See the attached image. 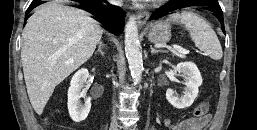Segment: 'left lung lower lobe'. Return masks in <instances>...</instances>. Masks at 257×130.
I'll use <instances>...</instances> for the list:
<instances>
[{
  "label": "left lung lower lobe",
  "instance_id": "obj_1",
  "mask_svg": "<svg viewBox=\"0 0 257 130\" xmlns=\"http://www.w3.org/2000/svg\"><path fill=\"white\" fill-rule=\"evenodd\" d=\"M188 6H203L204 9L213 12L214 16L222 23V30L225 33L223 12L219 6L218 0H170L161 9L154 11L150 20H157L171 14L175 10Z\"/></svg>",
  "mask_w": 257,
  "mask_h": 130
}]
</instances>
